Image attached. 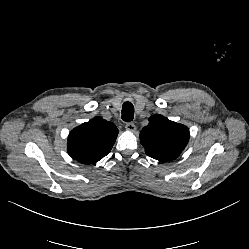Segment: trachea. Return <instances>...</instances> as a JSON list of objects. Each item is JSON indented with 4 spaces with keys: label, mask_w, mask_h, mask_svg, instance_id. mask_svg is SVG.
<instances>
[{
    "label": "trachea",
    "mask_w": 249,
    "mask_h": 249,
    "mask_svg": "<svg viewBox=\"0 0 249 249\" xmlns=\"http://www.w3.org/2000/svg\"><path fill=\"white\" fill-rule=\"evenodd\" d=\"M134 118V107L131 102H125L122 106V119L131 122Z\"/></svg>",
    "instance_id": "1"
}]
</instances>
